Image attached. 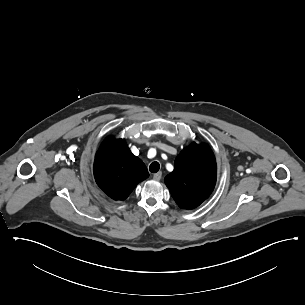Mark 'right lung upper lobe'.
I'll return each mask as SVG.
<instances>
[{
	"label": "right lung upper lobe",
	"instance_id": "right-lung-upper-lobe-1",
	"mask_svg": "<svg viewBox=\"0 0 305 305\" xmlns=\"http://www.w3.org/2000/svg\"><path fill=\"white\" fill-rule=\"evenodd\" d=\"M94 176L109 197L124 200L149 173L145 164L131 153L124 139L109 136L96 154Z\"/></svg>",
	"mask_w": 305,
	"mask_h": 305
}]
</instances>
